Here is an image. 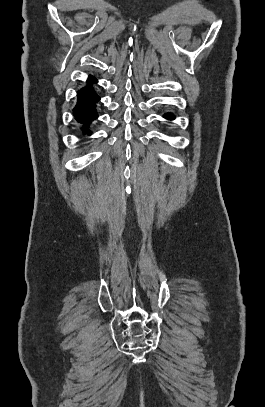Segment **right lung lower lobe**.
Masks as SVG:
<instances>
[{
	"label": "right lung lower lobe",
	"instance_id": "right-lung-lower-lobe-1",
	"mask_svg": "<svg viewBox=\"0 0 265 407\" xmlns=\"http://www.w3.org/2000/svg\"><path fill=\"white\" fill-rule=\"evenodd\" d=\"M96 82L97 80L89 75L87 80L88 85L77 92L78 100L73 109V115L76 121L82 124V132L88 135L91 134L88 128L90 123L98 117L95 107L96 103L100 100V97L95 93L91 85Z\"/></svg>",
	"mask_w": 265,
	"mask_h": 407
}]
</instances>
